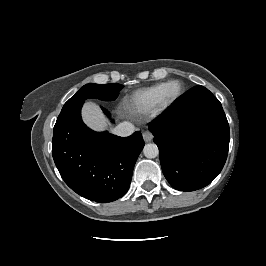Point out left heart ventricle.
I'll use <instances>...</instances> for the list:
<instances>
[{"mask_svg":"<svg viewBox=\"0 0 266 266\" xmlns=\"http://www.w3.org/2000/svg\"><path fill=\"white\" fill-rule=\"evenodd\" d=\"M177 90H178V87L177 86H172L171 88H170V93L172 94V93H175V92H177Z\"/></svg>","mask_w":266,"mask_h":266,"instance_id":"b2bd125f","label":"left heart ventricle"}]
</instances>
